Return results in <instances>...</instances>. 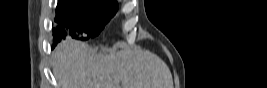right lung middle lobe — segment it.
Instances as JSON below:
<instances>
[{"mask_svg":"<svg viewBox=\"0 0 267 88\" xmlns=\"http://www.w3.org/2000/svg\"><path fill=\"white\" fill-rule=\"evenodd\" d=\"M117 10V2L108 0H59L55 18L59 30L53 34L54 43L66 36L80 40L97 36Z\"/></svg>","mask_w":267,"mask_h":88,"instance_id":"right-lung-middle-lobe-1","label":"right lung middle lobe"}]
</instances>
